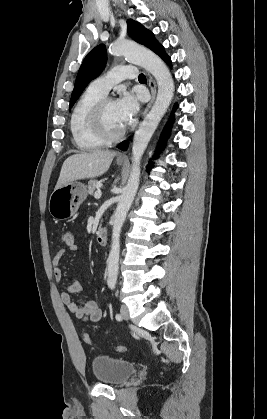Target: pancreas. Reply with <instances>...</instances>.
<instances>
[{
  "label": "pancreas",
  "mask_w": 267,
  "mask_h": 419,
  "mask_svg": "<svg viewBox=\"0 0 267 419\" xmlns=\"http://www.w3.org/2000/svg\"><path fill=\"white\" fill-rule=\"evenodd\" d=\"M100 184L98 180L92 179L88 182V193L92 195L97 188V186Z\"/></svg>",
  "instance_id": "obj_1"
}]
</instances>
